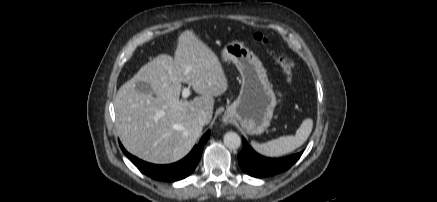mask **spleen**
<instances>
[{
    "mask_svg": "<svg viewBox=\"0 0 437 202\" xmlns=\"http://www.w3.org/2000/svg\"><path fill=\"white\" fill-rule=\"evenodd\" d=\"M312 128L313 120L308 118L302 122L294 136H282L278 139H274L262 144L252 141L251 146L261 155L268 157H279L290 153L303 145L309 137Z\"/></svg>",
    "mask_w": 437,
    "mask_h": 202,
    "instance_id": "obj_1",
    "label": "spleen"
}]
</instances>
